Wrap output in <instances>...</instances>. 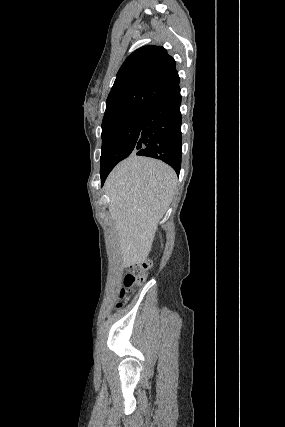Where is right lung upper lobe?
Wrapping results in <instances>:
<instances>
[{"mask_svg": "<svg viewBox=\"0 0 285 427\" xmlns=\"http://www.w3.org/2000/svg\"><path fill=\"white\" fill-rule=\"evenodd\" d=\"M175 60L161 46L134 51L119 69L106 101L102 124L127 114L147 110L179 90Z\"/></svg>", "mask_w": 285, "mask_h": 427, "instance_id": "right-lung-upper-lobe-1", "label": "right lung upper lobe"}]
</instances>
